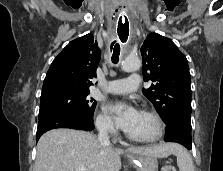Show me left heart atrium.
<instances>
[{
	"label": "left heart atrium",
	"mask_w": 223,
	"mask_h": 171,
	"mask_svg": "<svg viewBox=\"0 0 223 171\" xmlns=\"http://www.w3.org/2000/svg\"><path fill=\"white\" fill-rule=\"evenodd\" d=\"M107 111L113 116L117 126L126 132L130 129L139 113L134 107L121 103L109 104Z\"/></svg>",
	"instance_id": "39dd6f15"
}]
</instances>
